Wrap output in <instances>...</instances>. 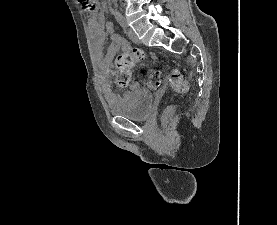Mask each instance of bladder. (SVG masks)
Listing matches in <instances>:
<instances>
[{"instance_id": "bladder-1", "label": "bladder", "mask_w": 277, "mask_h": 225, "mask_svg": "<svg viewBox=\"0 0 277 225\" xmlns=\"http://www.w3.org/2000/svg\"><path fill=\"white\" fill-rule=\"evenodd\" d=\"M153 106L152 93L144 89H133L112 103L109 110L112 115L130 120H145L151 115Z\"/></svg>"}]
</instances>
